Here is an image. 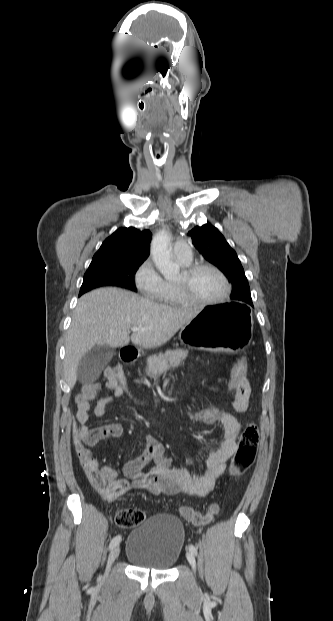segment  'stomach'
<instances>
[{"label": "stomach", "mask_w": 333, "mask_h": 621, "mask_svg": "<svg viewBox=\"0 0 333 621\" xmlns=\"http://www.w3.org/2000/svg\"><path fill=\"white\" fill-rule=\"evenodd\" d=\"M250 308L238 303H221L205 307L179 332L182 342L200 347L205 353L226 351L232 357L244 356L250 345L252 322Z\"/></svg>", "instance_id": "obj_1"}]
</instances>
